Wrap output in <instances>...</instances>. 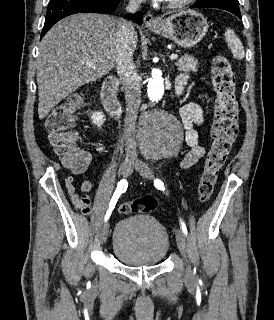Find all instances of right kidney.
Wrapping results in <instances>:
<instances>
[{"instance_id": "right-kidney-1", "label": "right kidney", "mask_w": 274, "mask_h": 320, "mask_svg": "<svg viewBox=\"0 0 274 320\" xmlns=\"http://www.w3.org/2000/svg\"><path fill=\"white\" fill-rule=\"evenodd\" d=\"M90 118L92 124H94V126H97V128H101L106 120L103 112H92Z\"/></svg>"}]
</instances>
